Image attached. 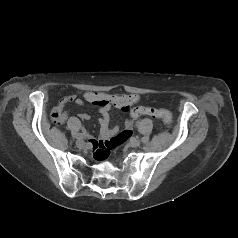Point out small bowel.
Returning a JSON list of instances; mask_svg holds the SVG:
<instances>
[{"instance_id": "1", "label": "small bowel", "mask_w": 238, "mask_h": 238, "mask_svg": "<svg viewBox=\"0 0 238 238\" xmlns=\"http://www.w3.org/2000/svg\"><path fill=\"white\" fill-rule=\"evenodd\" d=\"M89 102L99 108L101 117L99 119L100 124V133L101 136L106 139L117 134L119 127L115 126L110 128V110L112 104L122 110H129L130 106L138 101V96L136 95H125V94H116L110 96L102 92H84L82 96L73 94L63 98L56 107L53 109V119L58 124H62L67 120V113L65 112V106L68 103H75L79 106L83 105L84 102ZM59 113V115L57 114ZM56 115V116H55ZM79 118L82 120H88L90 116L86 113L79 115ZM132 122V120H127ZM126 121V122H127Z\"/></svg>"}]
</instances>
